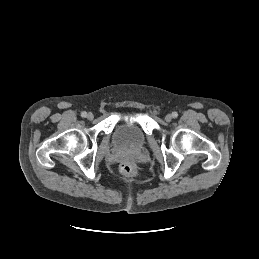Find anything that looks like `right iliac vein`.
I'll return each instance as SVG.
<instances>
[{
  "instance_id": "1",
  "label": "right iliac vein",
  "mask_w": 259,
  "mask_h": 259,
  "mask_svg": "<svg viewBox=\"0 0 259 259\" xmlns=\"http://www.w3.org/2000/svg\"><path fill=\"white\" fill-rule=\"evenodd\" d=\"M86 117L88 120H92L94 118V115L92 113H88Z\"/></svg>"
}]
</instances>
